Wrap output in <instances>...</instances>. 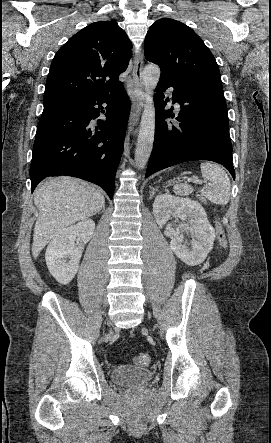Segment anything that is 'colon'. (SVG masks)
Here are the masks:
<instances>
[{
	"mask_svg": "<svg viewBox=\"0 0 271 443\" xmlns=\"http://www.w3.org/2000/svg\"><path fill=\"white\" fill-rule=\"evenodd\" d=\"M216 232H217V239H218L219 244L222 247H226L227 238H226L224 228L220 222H217V224H216ZM135 362H136V364H138L140 366H147L150 363V356L147 353L141 352L135 356Z\"/></svg>",
	"mask_w": 271,
	"mask_h": 443,
	"instance_id": "colon-1",
	"label": "colon"
}]
</instances>
